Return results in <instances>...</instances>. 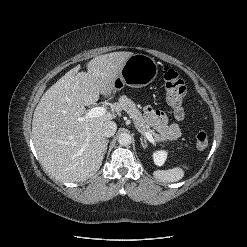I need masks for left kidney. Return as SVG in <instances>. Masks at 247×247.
Segmentation results:
<instances>
[{
    "instance_id": "left-kidney-1",
    "label": "left kidney",
    "mask_w": 247,
    "mask_h": 247,
    "mask_svg": "<svg viewBox=\"0 0 247 247\" xmlns=\"http://www.w3.org/2000/svg\"><path fill=\"white\" fill-rule=\"evenodd\" d=\"M167 158V152L164 150L156 151L153 154V161L156 165L162 166Z\"/></svg>"
}]
</instances>
